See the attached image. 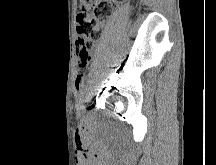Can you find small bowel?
Wrapping results in <instances>:
<instances>
[{"label": "small bowel", "mask_w": 216, "mask_h": 165, "mask_svg": "<svg viewBox=\"0 0 216 165\" xmlns=\"http://www.w3.org/2000/svg\"><path fill=\"white\" fill-rule=\"evenodd\" d=\"M81 65H82V64L78 63V66H79V67H81ZM82 80H83V77H82L81 74H79V75L77 76V78H76V83H75L76 88H80V87H81V85H82Z\"/></svg>", "instance_id": "small-bowel-1"}]
</instances>
